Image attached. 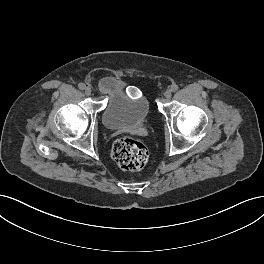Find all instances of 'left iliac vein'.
I'll list each match as a JSON object with an SVG mask.
<instances>
[{
	"instance_id": "4c4485c4",
	"label": "left iliac vein",
	"mask_w": 264,
	"mask_h": 264,
	"mask_svg": "<svg viewBox=\"0 0 264 264\" xmlns=\"http://www.w3.org/2000/svg\"><path fill=\"white\" fill-rule=\"evenodd\" d=\"M164 96H165L166 99H170L171 96H172L171 90H166L165 93H164Z\"/></svg>"
}]
</instances>
